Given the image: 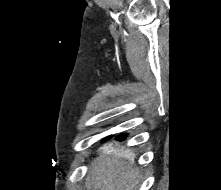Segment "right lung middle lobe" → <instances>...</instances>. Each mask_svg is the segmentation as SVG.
<instances>
[{
  "label": "right lung middle lobe",
  "mask_w": 221,
  "mask_h": 190,
  "mask_svg": "<svg viewBox=\"0 0 221 190\" xmlns=\"http://www.w3.org/2000/svg\"><path fill=\"white\" fill-rule=\"evenodd\" d=\"M110 138H111V136H109V137L105 138V140H108V139H110Z\"/></svg>",
  "instance_id": "dd1d6c3e"
}]
</instances>
